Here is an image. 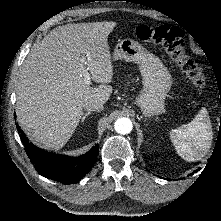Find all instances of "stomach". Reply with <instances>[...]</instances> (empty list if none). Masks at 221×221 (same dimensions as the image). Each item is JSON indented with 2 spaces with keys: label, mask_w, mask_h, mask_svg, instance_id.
<instances>
[{
  "label": "stomach",
  "mask_w": 221,
  "mask_h": 221,
  "mask_svg": "<svg viewBox=\"0 0 221 221\" xmlns=\"http://www.w3.org/2000/svg\"><path fill=\"white\" fill-rule=\"evenodd\" d=\"M113 58L139 65L143 89L136 98V104L145 117L161 114L172 84V77L162 61L131 39L121 40L116 45Z\"/></svg>",
  "instance_id": "obj_1"
}]
</instances>
